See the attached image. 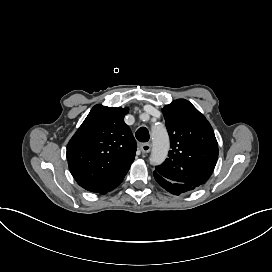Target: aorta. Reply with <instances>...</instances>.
I'll return each instance as SVG.
<instances>
[{
  "label": "aorta",
  "mask_w": 272,
  "mask_h": 272,
  "mask_svg": "<svg viewBox=\"0 0 272 272\" xmlns=\"http://www.w3.org/2000/svg\"><path fill=\"white\" fill-rule=\"evenodd\" d=\"M151 137L153 147L150 164L160 165L165 161L169 151V137L164 125L162 124L160 128L152 127Z\"/></svg>",
  "instance_id": "1"
}]
</instances>
